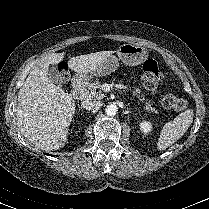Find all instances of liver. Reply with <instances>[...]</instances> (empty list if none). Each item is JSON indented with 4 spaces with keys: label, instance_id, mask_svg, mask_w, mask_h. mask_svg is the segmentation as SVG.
<instances>
[{
    "label": "liver",
    "instance_id": "6515ba94",
    "mask_svg": "<svg viewBox=\"0 0 209 209\" xmlns=\"http://www.w3.org/2000/svg\"><path fill=\"white\" fill-rule=\"evenodd\" d=\"M113 51H100L72 57L69 67L87 75ZM65 53L46 56L29 73L18 93L16 122L21 134L42 150H58L67 141L68 128L75 113L73 97L52 83L48 77L50 64H58Z\"/></svg>",
    "mask_w": 209,
    "mask_h": 209
}]
</instances>
